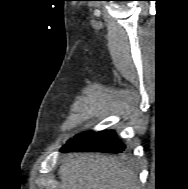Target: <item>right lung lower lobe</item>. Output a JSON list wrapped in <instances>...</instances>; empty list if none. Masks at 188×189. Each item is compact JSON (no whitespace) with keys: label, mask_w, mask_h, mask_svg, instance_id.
I'll return each instance as SVG.
<instances>
[{"label":"right lung lower lobe","mask_w":188,"mask_h":189,"mask_svg":"<svg viewBox=\"0 0 188 189\" xmlns=\"http://www.w3.org/2000/svg\"><path fill=\"white\" fill-rule=\"evenodd\" d=\"M125 148L126 146L116 137L114 131H90L76 135L60 151L122 153Z\"/></svg>","instance_id":"1"}]
</instances>
